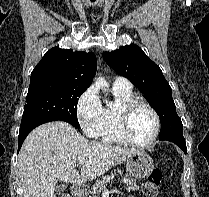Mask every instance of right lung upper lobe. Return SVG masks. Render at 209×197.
Returning a JSON list of instances; mask_svg holds the SVG:
<instances>
[{
    "label": "right lung upper lobe",
    "instance_id": "cb5924a9",
    "mask_svg": "<svg viewBox=\"0 0 209 197\" xmlns=\"http://www.w3.org/2000/svg\"><path fill=\"white\" fill-rule=\"evenodd\" d=\"M96 69L97 59L93 53L54 47L36 65L30 82H68L89 87Z\"/></svg>",
    "mask_w": 209,
    "mask_h": 197
}]
</instances>
